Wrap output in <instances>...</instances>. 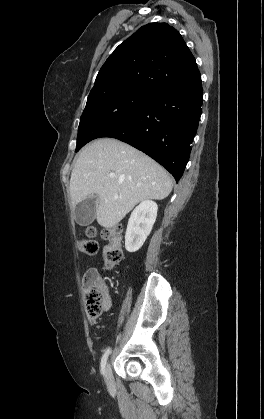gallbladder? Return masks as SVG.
Segmentation results:
<instances>
[{"label": "gallbladder", "mask_w": 264, "mask_h": 419, "mask_svg": "<svg viewBox=\"0 0 264 419\" xmlns=\"http://www.w3.org/2000/svg\"><path fill=\"white\" fill-rule=\"evenodd\" d=\"M97 206L98 198L96 196H88L79 202L75 207L76 222L81 226L91 224L95 219Z\"/></svg>", "instance_id": "1"}]
</instances>
